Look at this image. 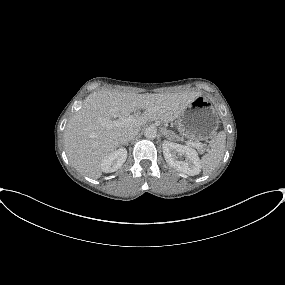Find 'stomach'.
<instances>
[{
	"instance_id": "0dacf381",
	"label": "stomach",
	"mask_w": 285,
	"mask_h": 285,
	"mask_svg": "<svg viewBox=\"0 0 285 285\" xmlns=\"http://www.w3.org/2000/svg\"><path fill=\"white\" fill-rule=\"evenodd\" d=\"M219 122L218 113L212 102L199 96L177 118V128L187 138L206 140L216 133Z\"/></svg>"
}]
</instances>
